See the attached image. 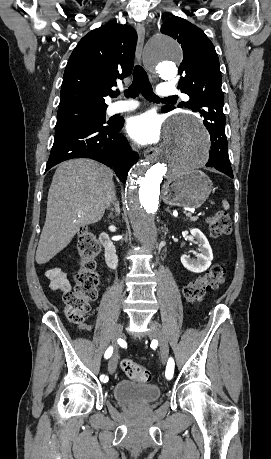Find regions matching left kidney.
Listing matches in <instances>:
<instances>
[{
	"instance_id": "5707ae66",
	"label": "left kidney",
	"mask_w": 271,
	"mask_h": 459,
	"mask_svg": "<svg viewBox=\"0 0 271 459\" xmlns=\"http://www.w3.org/2000/svg\"><path fill=\"white\" fill-rule=\"evenodd\" d=\"M190 233L199 241V251H201V253H199L198 259H191L190 255H181V261L184 267H187L190 271L200 273V271H205V269H208L209 265H211L213 253L207 237H205L200 229L192 228L190 229Z\"/></svg>"
}]
</instances>
